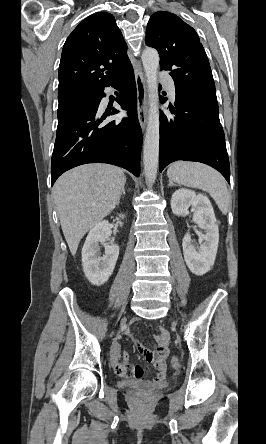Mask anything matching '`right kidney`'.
<instances>
[{"label":"right kidney","instance_id":"ca27d5eb","mask_svg":"<svg viewBox=\"0 0 266 444\" xmlns=\"http://www.w3.org/2000/svg\"><path fill=\"white\" fill-rule=\"evenodd\" d=\"M119 217L124 218L125 215L120 214ZM110 235L109 222L101 221L90 230L82 248L83 271L93 285L104 284L115 268L119 247L113 243H105ZM99 243L105 247L103 256L100 255Z\"/></svg>","mask_w":266,"mask_h":444}]
</instances>
